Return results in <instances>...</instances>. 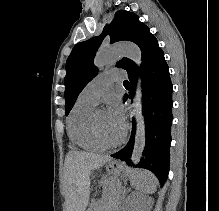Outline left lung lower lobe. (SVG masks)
Returning <instances> with one entry per match:
<instances>
[{
    "mask_svg": "<svg viewBox=\"0 0 219 211\" xmlns=\"http://www.w3.org/2000/svg\"><path fill=\"white\" fill-rule=\"evenodd\" d=\"M142 78L143 116L145 121V150L141 161L136 167L149 169L160 181L161 186L167 180L170 167V143L172 123V91L169 68L160 49L142 65L141 70L128 74L131 88L129 95L123 100L133 98L137 77ZM132 134L127 145L111 156L130 164L134 147L135 120L133 119Z\"/></svg>",
    "mask_w": 219,
    "mask_h": 211,
    "instance_id": "1",
    "label": "left lung lower lobe"
}]
</instances>
